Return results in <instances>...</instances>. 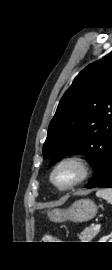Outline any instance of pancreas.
Returning a JSON list of instances; mask_svg holds the SVG:
<instances>
[{
  "label": "pancreas",
  "mask_w": 112,
  "mask_h": 270,
  "mask_svg": "<svg viewBox=\"0 0 112 270\" xmlns=\"http://www.w3.org/2000/svg\"><path fill=\"white\" fill-rule=\"evenodd\" d=\"M99 229L94 230L93 227H87L79 234L81 242H91V240L99 233Z\"/></svg>",
  "instance_id": "obj_1"
}]
</instances>
